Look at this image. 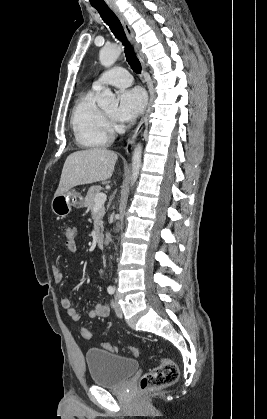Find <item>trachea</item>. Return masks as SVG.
Listing matches in <instances>:
<instances>
[{
	"label": "trachea",
	"instance_id": "trachea-1",
	"mask_svg": "<svg viewBox=\"0 0 267 419\" xmlns=\"http://www.w3.org/2000/svg\"><path fill=\"white\" fill-rule=\"evenodd\" d=\"M95 9L100 14L103 21L109 26L114 36L122 42L125 46V55L126 60L131 66L132 70L137 74L141 73V64L138 58L135 55V52L130 45L129 41L126 38L124 29L121 25L120 20L118 17L113 13V11L109 7L104 6H94Z\"/></svg>",
	"mask_w": 267,
	"mask_h": 419
}]
</instances>
